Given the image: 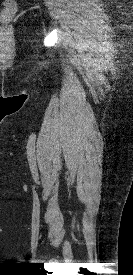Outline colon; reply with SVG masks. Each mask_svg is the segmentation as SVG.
<instances>
[{"instance_id": "colon-1", "label": "colon", "mask_w": 133, "mask_h": 275, "mask_svg": "<svg viewBox=\"0 0 133 275\" xmlns=\"http://www.w3.org/2000/svg\"><path fill=\"white\" fill-rule=\"evenodd\" d=\"M16 6L13 0H6L5 6L2 10V16L11 17L15 14Z\"/></svg>"}]
</instances>
